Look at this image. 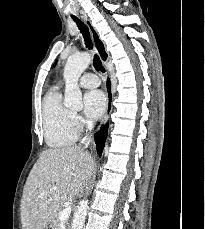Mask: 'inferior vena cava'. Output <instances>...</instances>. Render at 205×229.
Instances as JSON below:
<instances>
[{"label": "inferior vena cava", "mask_w": 205, "mask_h": 229, "mask_svg": "<svg viewBox=\"0 0 205 229\" xmlns=\"http://www.w3.org/2000/svg\"><path fill=\"white\" fill-rule=\"evenodd\" d=\"M91 141V139L89 138L88 141H87V144Z\"/></svg>", "instance_id": "602c4592"}]
</instances>
